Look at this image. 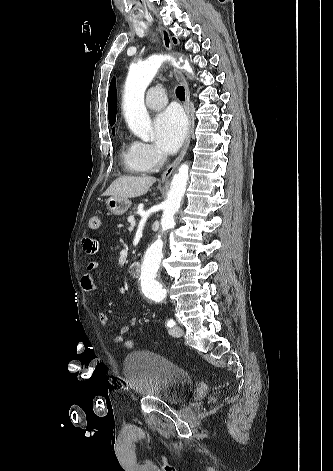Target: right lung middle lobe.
<instances>
[{
    "mask_svg": "<svg viewBox=\"0 0 333 471\" xmlns=\"http://www.w3.org/2000/svg\"><path fill=\"white\" fill-rule=\"evenodd\" d=\"M112 132H113V134H114V133H115V130H113Z\"/></svg>",
    "mask_w": 333,
    "mask_h": 471,
    "instance_id": "dd1d6c3e",
    "label": "right lung middle lobe"
}]
</instances>
